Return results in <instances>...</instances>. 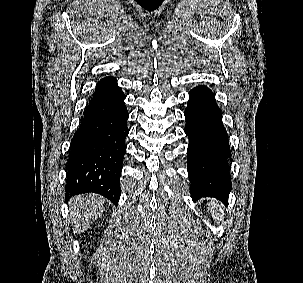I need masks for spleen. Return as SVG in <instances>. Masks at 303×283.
<instances>
[{
	"instance_id": "spleen-1",
	"label": "spleen",
	"mask_w": 303,
	"mask_h": 283,
	"mask_svg": "<svg viewBox=\"0 0 303 283\" xmlns=\"http://www.w3.org/2000/svg\"><path fill=\"white\" fill-rule=\"evenodd\" d=\"M209 208L212 218L217 224H220V222H222L224 219L222 205L216 200H211L209 203Z\"/></svg>"
}]
</instances>
